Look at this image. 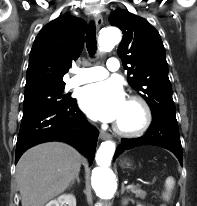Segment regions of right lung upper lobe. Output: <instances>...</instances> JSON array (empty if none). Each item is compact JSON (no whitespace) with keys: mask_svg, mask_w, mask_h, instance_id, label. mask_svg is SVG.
I'll list each match as a JSON object with an SVG mask.
<instances>
[{"mask_svg":"<svg viewBox=\"0 0 197 206\" xmlns=\"http://www.w3.org/2000/svg\"><path fill=\"white\" fill-rule=\"evenodd\" d=\"M86 23L62 15L44 26L34 40L25 88L65 85L63 76L82 52Z\"/></svg>","mask_w":197,"mask_h":206,"instance_id":"right-lung-upper-lobe-1","label":"right lung upper lobe"}]
</instances>
